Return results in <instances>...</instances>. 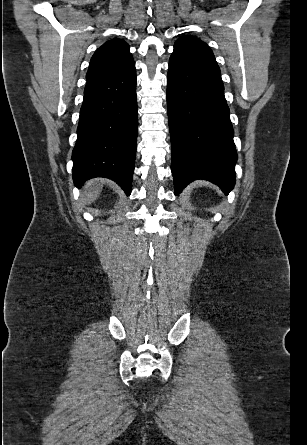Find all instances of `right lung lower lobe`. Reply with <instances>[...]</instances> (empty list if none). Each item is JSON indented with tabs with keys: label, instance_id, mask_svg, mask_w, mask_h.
Returning a JSON list of instances; mask_svg holds the SVG:
<instances>
[{
	"label": "right lung lower lobe",
	"instance_id": "right-lung-lower-lobe-1",
	"mask_svg": "<svg viewBox=\"0 0 307 445\" xmlns=\"http://www.w3.org/2000/svg\"><path fill=\"white\" fill-rule=\"evenodd\" d=\"M137 115L135 62L113 75L87 81L72 153L75 186L106 177L130 195Z\"/></svg>",
	"mask_w": 307,
	"mask_h": 445
}]
</instances>
